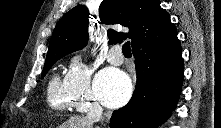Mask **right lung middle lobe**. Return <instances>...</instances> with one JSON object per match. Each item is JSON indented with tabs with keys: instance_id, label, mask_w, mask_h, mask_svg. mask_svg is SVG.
<instances>
[{
	"instance_id": "obj_1",
	"label": "right lung middle lobe",
	"mask_w": 221,
	"mask_h": 128,
	"mask_svg": "<svg viewBox=\"0 0 221 128\" xmlns=\"http://www.w3.org/2000/svg\"><path fill=\"white\" fill-rule=\"evenodd\" d=\"M58 59H59V58H58ZM58 59L50 60V61H48V62H45L44 69H43V72H42V77H44V76L46 75V73L48 72V70L51 68V66H52Z\"/></svg>"
}]
</instances>
